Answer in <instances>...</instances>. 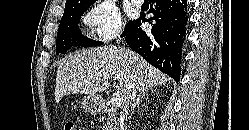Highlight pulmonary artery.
Masks as SVG:
<instances>
[{"label": "pulmonary artery", "instance_id": "obj_1", "mask_svg": "<svg viewBox=\"0 0 249 130\" xmlns=\"http://www.w3.org/2000/svg\"><path fill=\"white\" fill-rule=\"evenodd\" d=\"M131 2L136 8H140L143 4V0H131Z\"/></svg>", "mask_w": 249, "mask_h": 130}]
</instances>
